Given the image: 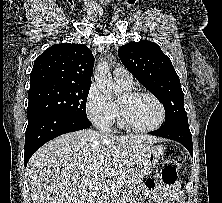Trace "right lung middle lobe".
Here are the masks:
<instances>
[{
    "mask_svg": "<svg viewBox=\"0 0 222 203\" xmlns=\"http://www.w3.org/2000/svg\"><path fill=\"white\" fill-rule=\"evenodd\" d=\"M91 85H59L29 90L28 119L41 114L87 118L86 101Z\"/></svg>",
    "mask_w": 222,
    "mask_h": 203,
    "instance_id": "dd1d6c3e",
    "label": "right lung middle lobe"
}]
</instances>
